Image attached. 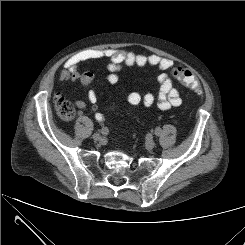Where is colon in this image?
<instances>
[{
    "instance_id": "colon-1",
    "label": "colon",
    "mask_w": 245,
    "mask_h": 245,
    "mask_svg": "<svg viewBox=\"0 0 245 245\" xmlns=\"http://www.w3.org/2000/svg\"><path fill=\"white\" fill-rule=\"evenodd\" d=\"M171 74L184 86L201 94L199 81L193 71L182 67H176L171 70ZM55 108L60 117L64 120H70L76 114L75 105L61 95H58L55 98Z\"/></svg>"
}]
</instances>
